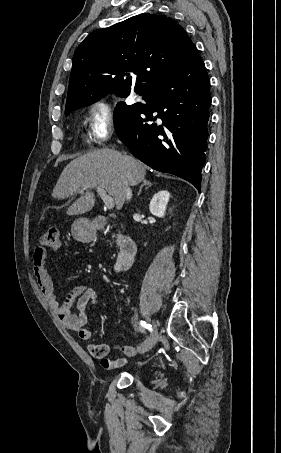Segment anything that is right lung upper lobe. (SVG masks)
<instances>
[{
  "instance_id": "right-lung-upper-lobe-1",
  "label": "right lung upper lobe",
  "mask_w": 281,
  "mask_h": 453,
  "mask_svg": "<svg viewBox=\"0 0 281 453\" xmlns=\"http://www.w3.org/2000/svg\"><path fill=\"white\" fill-rule=\"evenodd\" d=\"M198 56L177 22L143 13L90 33L73 56L66 112L91 105L106 93L144 94Z\"/></svg>"
}]
</instances>
